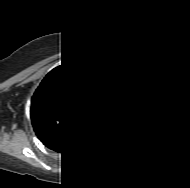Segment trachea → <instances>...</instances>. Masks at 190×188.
<instances>
[{"label":"trachea","mask_w":190,"mask_h":188,"mask_svg":"<svg viewBox=\"0 0 190 188\" xmlns=\"http://www.w3.org/2000/svg\"><path fill=\"white\" fill-rule=\"evenodd\" d=\"M90 114L94 116H100L102 114L101 108L96 104L92 105V107L90 108Z\"/></svg>","instance_id":"obj_1"}]
</instances>
